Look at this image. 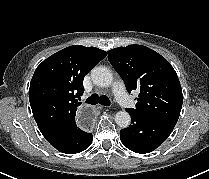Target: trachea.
<instances>
[{
	"label": "trachea",
	"instance_id": "obj_1",
	"mask_svg": "<svg viewBox=\"0 0 209 179\" xmlns=\"http://www.w3.org/2000/svg\"><path fill=\"white\" fill-rule=\"evenodd\" d=\"M86 103L96 105L98 103L109 106L110 105V100L105 97V96H97V94H92L87 100Z\"/></svg>",
	"mask_w": 209,
	"mask_h": 179
}]
</instances>
